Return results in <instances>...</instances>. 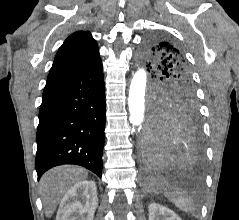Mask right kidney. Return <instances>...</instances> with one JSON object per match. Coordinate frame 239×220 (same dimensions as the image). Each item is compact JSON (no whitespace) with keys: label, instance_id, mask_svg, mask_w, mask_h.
<instances>
[{"label":"right kidney","instance_id":"right-kidney-1","mask_svg":"<svg viewBox=\"0 0 239 220\" xmlns=\"http://www.w3.org/2000/svg\"><path fill=\"white\" fill-rule=\"evenodd\" d=\"M97 205L96 183L82 180L73 185L61 200L56 220H93Z\"/></svg>","mask_w":239,"mask_h":220}]
</instances>
